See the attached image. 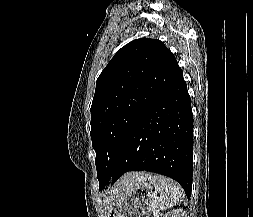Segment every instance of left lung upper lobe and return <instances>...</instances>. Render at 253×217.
Returning a JSON list of instances; mask_svg holds the SVG:
<instances>
[{"instance_id":"left-lung-upper-lobe-1","label":"left lung upper lobe","mask_w":253,"mask_h":217,"mask_svg":"<svg viewBox=\"0 0 253 217\" xmlns=\"http://www.w3.org/2000/svg\"><path fill=\"white\" fill-rule=\"evenodd\" d=\"M182 73L160 40L140 38L122 47L99 75L91 106V138L99 189L111 179L133 122Z\"/></svg>"}]
</instances>
